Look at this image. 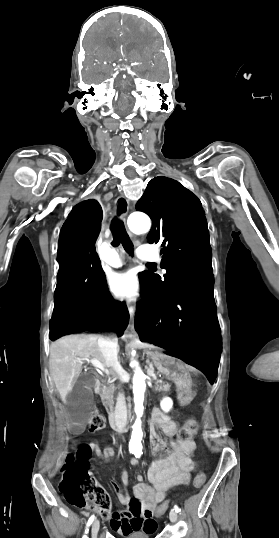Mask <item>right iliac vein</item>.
<instances>
[{
  "label": "right iliac vein",
  "mask_w": 279,
  "mask_h": 538,
  "mask_svg": "<svg viewBox=\"0 0 279 538\" xmlns=\"http://www.w3.org/2000/svg\"><path fill=\"white\" fill-rule=\"evenodd\" d=\"M99 526H100V522L98 519H96L93 524H92V528H91V535H92V538H97V534H98V531H99Z\"/></svg>",
  "instance_id": "obj_1"
}]
</instances>
